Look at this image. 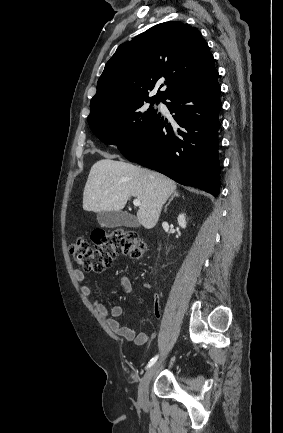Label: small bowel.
<instances>
[{"instance_id": "obj_1", "label": "small bowel", "mask_w": 283, "mask_h": 433, "mask_svg": "<svg viewBox=\"0 0 283 433\" xmlns=\"http://www.w3.org/2000/svg\"><path fill=\"white\" fill-rule=\"evenodd\" d=\"M75 278L78 282H83L86 279V275L81 270L75 271ZM124 289L127 293L133 294L132 287L129 281L123 282ZM82 294L87 297H92V288L89 285H83L81 287ZM138 301H143L141 297L134 295ZM98 312L106 317L107 324L112 332L124 337L129 341H133L136 345H144L154 338V332H137L134 325H124L119 321V318L123 315V308L120 305H114L111 308H106L103 304L96 301L93 302ZM156 315L159 316L158 308L155 311Z\"/></svg>"}]
</instances>
